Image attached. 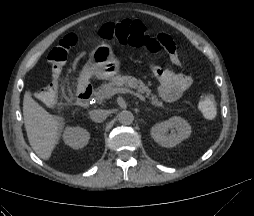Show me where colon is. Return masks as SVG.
I'll return each mask as SVG.
<instances>
[{
	"label": "colon",
	"mask_w": 254,
	"mask_h": 216,
	"mask_svg": "<svg viewBox=\"0 0 254 216\" xmlns=\"http://www.w3.org/2000/svg\"><path fill=\"white\" fill-rule=\"evenodd\" d=\"M99 36L105 40H116L122 45L144 47L151 53L166 51L160 43L155 41V36L147 33L145 26L139 21L125 20L117 23H105L99 29ZM76 42V36L74 34H68L48 54L52 82L37 94L40 100L48 106L54 105L58 100V81ZM198 107L205 118L213 119L216 116L217 101L212 94H201Z\"/></svg>",
	"instance_id": "1"
}]
</instances>
